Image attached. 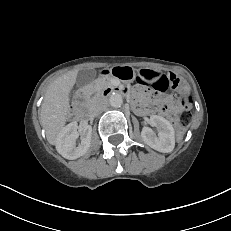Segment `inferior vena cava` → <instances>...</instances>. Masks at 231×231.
Wrapping results in <instances>:
<instances>
[{
	"label": "inferior vena cava",
	"instance_id": "1",
	"mask_svg": "<svg viewBox=\"0 0 231 231\" xmlns=\"http://www.w3.org/2000/svg\"><path fill=\"white\" fill-rule=\"evenodd\" d=\"M105 108H106V105L98 106V107L95 108L93 114H94V115H98V114H100L102 111H104Z\"/></svg>",
	"mask_w": 231,
	"mask_h": 231
}]
</instances>
